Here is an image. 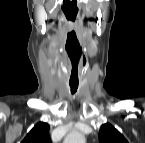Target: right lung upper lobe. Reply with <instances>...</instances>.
<instances>
[{"label":"right lung upper lobe","instance_id":"obj_1","mask_svg":"<svg viewBox=\"0 0 145 143\" xmlns=\"http://www.w3.org/2000/svg\"><path fill=\"white\" fill-rule=\"evenodd\" d=\"M22 143H51L48 123H37L27 134Z\"/></svg>","mask_w":145,"mask_h":143}]
</instances>
